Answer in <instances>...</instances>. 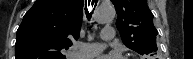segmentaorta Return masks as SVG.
Wrapping results in <instances>:
<instances>
[{"label": "aorta", "instance_id": "aorta-1", "mask_svg": "<svg viewBox=\"0 0 193 59\" xmlns=\"http://www.w3.org/2000/svg\"><path fill=\"white\" fill-rule=\"evenodd\" d=\"M115 15L116 11L112 5L102 4L95 10L94 20L100 24L108 23L115 18Z\"/></svg>", "mask_w": 193, "mask_h": 59}]
</instances>
